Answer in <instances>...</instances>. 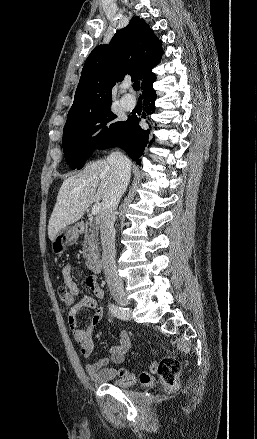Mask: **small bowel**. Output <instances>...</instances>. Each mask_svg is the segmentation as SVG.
Here are the masks:
<instances>
[{
	"label": "small bowel",
	"mask_w": 257,
	"mask_h": 439,
	"mask_svg": "<svg viewBox=\"0 0 257 439\" xmlns=\"http://www.w3.org/2000/svg\"><path fill=\"white\" fill-rule=\"evenodd\" d=\"M61 272L65 286L77 295L79 290L72 276V267L65 265ZM86 285L93 295L82 296L78 302L69 309L67 321L72 335L80 347L81 355L88 358L92 355L94 350L93 331L101 321L104 313V307L99 305L96 299H102L104 292L97 279L93 276L86 279ZM84 308L93 309V314L86 326L83 327L79 324L77 315L79 311ZM130 347L131 340L129 334L123 330L120 333L118 343L112 346L106 355L86 365V372L90 379L96 383H105L114 379L119 369L117 367H109V365L113 364L118 366L122 364Z\"/></svg>",
	"instance_id": "1"
}]
</instances>
